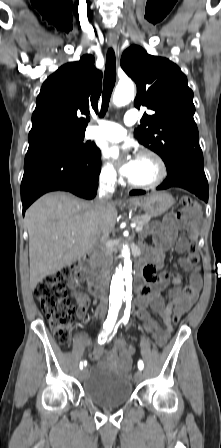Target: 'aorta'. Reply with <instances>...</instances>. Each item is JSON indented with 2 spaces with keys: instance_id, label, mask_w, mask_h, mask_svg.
I'll return each mask as SVG.
<instances>
[{
  "instance_id": "762f6f07",
  "label": "aorta",
  "mask_w": 221,
  "mask_h": 448,
  "mask_svg": "<svg viewBox=\"0 0 221 448\" xmlns=\"http://www.w3.org/2000/svg\"><path fill=\"white\" fill-rule=\"evenodd\" d=\"M134 94V84L131 81L119 83L114 92L113 102L118 107L124 106L134 98ZM121 252L124 264L116 269L111 284V309L114 314H118L121 310L127 288L132 281V255L129 245L123 244Z\"/></svg>"
}]
</instances>
